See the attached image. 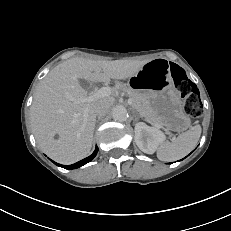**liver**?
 <instances>
[{
	"label": "liver",
	"mask_w": 231,
	"mask_h": 231,
	"mask_svg": "<svg viewBox=\"0 0 231 231\" xmlns=\"http://www.w3.org/2000/svg\"><path fill=\"white\" fill-rule=\"evenodd\" d=\"M149 60L96 61L72 58L53 68L40 82L31 105L30 119L39 148L56 162L72 164L85 158L92 148L95 107L111 106L113 97L78 103L71 97H86L79 79L93 82L125 80ZM58 135V139H55Z\"/></svg>",
	"instance_id": "liver-1"
}]
</instances>
